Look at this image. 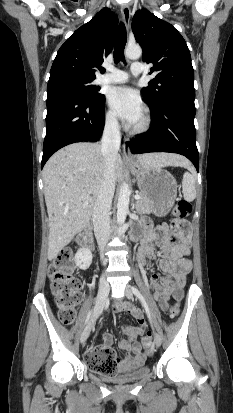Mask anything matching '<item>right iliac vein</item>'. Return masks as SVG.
Returning a JSON list of instances; mask_svg holds the SVG:
<instances>
[{"label": "right iliac vein", "instance_id": "1", "mask_svg": "<svg viewBox=\"0 0 233 413\" xmlns=\"http://www.w3.org/2000/svg\"><path fill=\"white\" fill-rule=\"evenodd\" d=\"M108 294H109V284L106 280H102L100 283L96 306H95L93 315L81 334V338H80L81 343H84L88 339L91 329L97 317L100 315V313L103 310Z\"/></svg>", "mask_w": 233, "mask_h": 413}]
</instances>
